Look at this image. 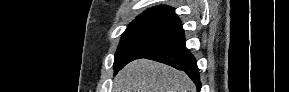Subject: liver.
<instances>
[{
	"label": "liver",
	"instance_id": "6515ba94",
	"mask_svg": "<svg viewBox=\"0 0 289 92\" xmlns=\"http://www.w3.org/2000/svg\"><path fill=\"white\" fill-rule=\"evenodd\" d=\"M195 91L193 82L184 72L147 59L127 64L114 81V92Z\"/></svg>",
	"mask_w": 289,
	"mask_h": 92
}]
</instances>
